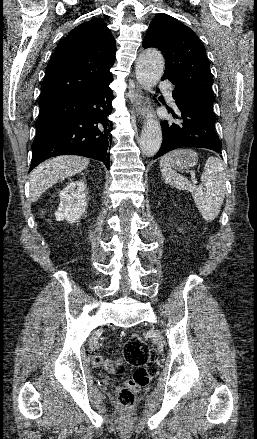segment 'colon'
<instances>
[{
	"instance_id": "colon-1",
	"label": "colon",
	"mask_w": 257,
	"mask_h": 439,
	"mask_svg": "<svg viewBox=\"0 0 257 439\" xmlns=\"http://www.w3.org/2000/svg\"><path fill=\"white\" fill-rule=\"evenodd\" d=\"M92 362L95 365H101L103 358L95 356ZM127 366L135 367L133 376L116 392L117 403L123 408L132 407L136 400L135 392L147 386L158 373L157 354L137 334L128 337L121 357L112 362L109 369L114 374L121 375Z\"/></svg>"
}]
</instances>
